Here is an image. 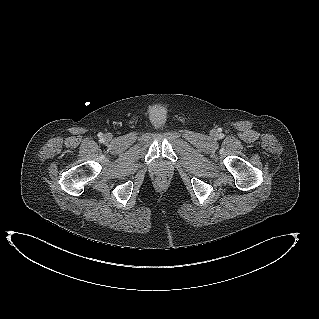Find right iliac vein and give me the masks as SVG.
<instances>
[{"instance_id":"right-iliac-vein-1","label":"right iliac vein","mask_w":319,"mask_h":319,"mask_svg":"<svg viewBox=\"0 0 319 319\" xmlns=\"http://www.w3.org/2000/svg\"><path fill=\"white\" fill-rule=\"evenodd\" d=\"M105 138H106L107 140H110V139H111V135L107 134V135L105 136Z\"/></svg>"}]
</instances>
